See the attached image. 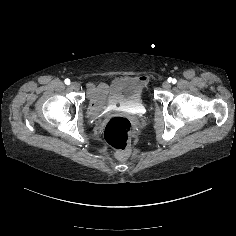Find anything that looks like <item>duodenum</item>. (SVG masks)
<instances>
[{"mask_svg":"<svg viewBox=\"0 0 236 236\" xmlns=\"http://www.w3.org/2000/svg\"><path fill=\"white\" fill-rule=\"evenodd\" d=\"M104 93L101 89L93 88L90 92L89 111L92 114L99 113L103 108Z\"/></svg>","mask_w":236,"mask_h":236,"instance_id":"duodenum-1","label":"duodenum"}]
</instances>
